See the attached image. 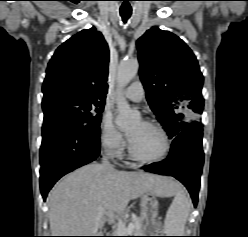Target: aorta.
<instances>
[{"label": "aorta", "instance_id": "aorta-1", "mask_svg": "<svg viewBox=\"0 0 248 237\" xmlns=\"http://www.w3.org/2000/svg\"><path fill=\"white\" fill-rule=\"evenodd\" d=\"M138 69L139 63L137 59L123 60L118 68V90L116 96L118 116L116 118V124L120 128L128 127L140 118L139 112L130 108L126 98L123 95V88L135 77Z\"/></svg>", "mask_w": 248, "mask_h": 237}]
</instances>
